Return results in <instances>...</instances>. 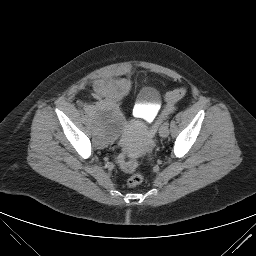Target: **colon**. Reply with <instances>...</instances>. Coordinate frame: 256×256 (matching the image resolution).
<instances>
[{"label":"colon","instance_id":"1","mask_svg":"<svg viewBox=\"0 0 256 256\" xmlns=\"http://www.w3.org/2000/svg\"><path fill=\"white\" fill-rule=\"evenodd\" d=\"M186 92L187 90L185 87H179L168 92L165 99L168 103L172 104L182 99L186 95ZM117 163L124 172L132 174L127 180V185L129 187H136L142 183L143 175L140 172H137L138 167L136 162L128 159L124 154H120L117 158Z\"/></svg>","mask_w":256,"mask_h":256}]
</instances>
